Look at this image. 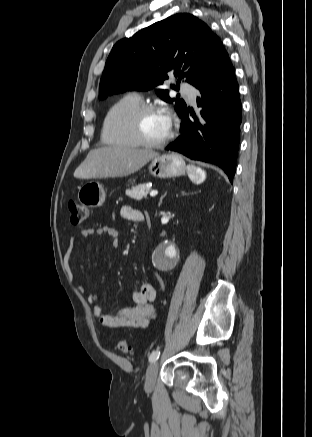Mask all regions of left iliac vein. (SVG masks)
Instances as JSON below:
<instances>
[{"instance_id":"obj_1","label":"left iliac vein","mask_w":312,"mask_h":437,"mask_svg":"<svg viewBox=\"0 0 312 437\" xmlns=\"http://www.w3.org/2000/svg\"><path fill=\"white\" fill-rule=\"evenodd\" d=\"M159 371V365L157 362L152 363L146 372V380H145V390L147 392H151L155 386V382L157 379Z\"/></svg>"}]
</instances>
